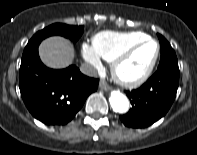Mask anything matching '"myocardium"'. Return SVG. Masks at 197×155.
Wrapping results in <instances>:
<instances>
[{
  "instance_id": "obj_1",
  "label": "myocardium",
  "mask_w": 197,
  "mask_h": 155,
  "mask_svg": "<svg viewBox=\"0 0 197 155\" xmlns=\"http://www.w3.org/2000/svg\"><path fill=\"white\" fill-rule=\"evenodd\" d=\"M146 43H154L156 46L154 56H153L150 64L148 65V67L144 70V72L142 74H140L137 77L128 78V77L123 76L120 72V68L123 65V63L126 62L138 48H140L142 45H144ZM159 54H160V46H159L158 42L151 37H146L144 39H141V40L131 44L130 46L125 48L112 61L111 74H112L114 81L116 83H118L119 85L126 87V88H135V87L142 85L151 76V74L156 66V63L158 61Z\"/></svg>"
}]
</instances>
